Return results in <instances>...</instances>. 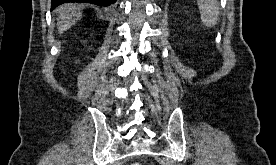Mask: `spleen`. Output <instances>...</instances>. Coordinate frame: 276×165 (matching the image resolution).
<instances>
[{
    "label": "spleen",
    "instance_id": "3e777b00",
    "mask_svg": "<svg viewBox=\"0 0 276 165\" xmlns=\"http://www.w3.org/2000/svg\"><path fill=\"white\" fill-rule=\"evenodd\" d=\"M201 21L206 27H213L219 19V6L217 0H197Z\"/></svg>",
    "mask_w": 276,
    "mask_h": 165
}]
</instances>
